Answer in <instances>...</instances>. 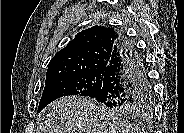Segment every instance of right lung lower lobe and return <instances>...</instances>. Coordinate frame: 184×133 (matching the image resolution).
Here are the masks:
<instances>
[{
	"label": "right lung lower lobe",
	"instance_id": "1",
	"mask_svg": "<svg viewBox=\"0 0 184 133\" xmlns=\"http://www.w3.org/2000/svg\"><path fill=\"white\" fill-rule=\"evenodd\" d=\"M151 91L144 60L136 47L120 35L94 99L106 106L131 105L146 99Z\"/></svg>",
	"mask_w": 184,
	"mask_h": 133
}]
</instances>
